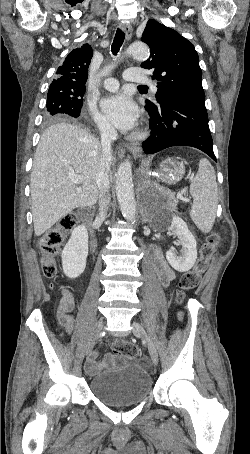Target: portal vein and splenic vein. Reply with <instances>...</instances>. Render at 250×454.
I'll return each instance as SVG.
<instances>
[{
	"mask_svg": "<svg viewBox=\"0 0 250 454\" xmlns=\"http://www.w3.org/2000/svg\"><path fill=\"white\" fill-rule=\"evenodd\" d=\"M71 178H72V181H73L74 183H78L79 176L73 175ZM81 190H82V189H81L80 187H78V188L76 189L77 192H80ZM177 198L180 199V200H182L183 202H188V201H189V200H188L187 198H185L182 194H177Z\"/></svg>",
	"mask_w": 250,
	"mask_h": 454,
	"instance_id": "obj_1",
	"label": "portal vein and splenic vein"
}]
</instances>
